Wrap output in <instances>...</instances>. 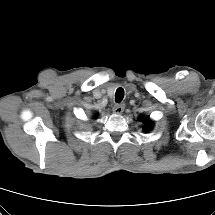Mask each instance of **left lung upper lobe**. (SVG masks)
I'll list each match as a JSON object with an SVG mask.
<instances>
[{"label": "left lung upper lobe", "instance_id": "1", "mask_svg": "<svg viewBox=\"0 0 215 215\" xmlns=\"http://www.w3.org/2000/svg\"><path fill=\"white\" fill-rule=\"evenodd\" d=\"M140 121H142L144 123L143 125V129L144 131H150V129L152 128L153 124H151V120L149 117H140L139 118Z\"/></svg>", "mask_w": 215, "mask_h": 215}]
</instances>
